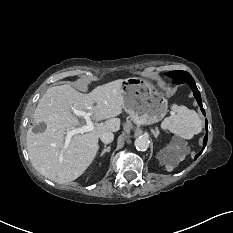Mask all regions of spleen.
I'll return each mask as SVG.
<instances>
[{
    "label": "spleen",
    "mask_w": 233,
    "mask_h": 233,
    "mask_svg": "<svg viewBox=\"0 0 233 233\" xmlns=\"http://www.w3.org/2000/svg\"><path fill=\"white\" fill-rule=\"evenodd\" d=\"M161 127L182 139H191L194 134L201 132L202 120L194 110H190L184 105L173 104L170 116L162 121ZM180 151L186 152L183 146Z\"/></svg>",
    "instance_id": "3e777b00"
}]
</instances>
